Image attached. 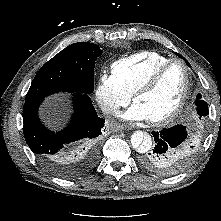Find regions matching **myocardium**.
<instances>
[{"label": "myocardium", "instance_id": "f54148a6", "mask_svg": "<svg viewBox=\"0 0 221 221\" xmlns=\"http://www.w3.org/2000/svg\"><path fill=\"white\" fill-rule=\"evenodd\" d=\"M178 63L180 64L185 72V89L183 92V95L179 101V103L176 105V107L167 115L158 118V119H152L150 122L155 126H162L166 125L170 122H172L175 118H177L180 113L185 108L192 90V79H191V73L188 65L186 62L180 58H172L169 59L167 62L159 66L133 93V102L142 94H145L149 91H151L159 82L163 74L166 72V70L173 64Z\"/></svg>", "mask_w": 221, "mask_h": 221}]
</instances>
